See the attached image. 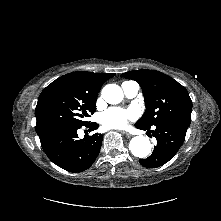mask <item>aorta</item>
<instances>
[{
	"instance_id": "aorta-1",
	"label": "aorta",
	"mask_w": 221,
	"mask_h": 221,
	"mask_svg": "<svg viewBox=\"0 0 221 221\" xmlns=\"http://www.w3.org/2000/svg\"><path fill=\"white\" fill-rule=\"evenodd\" d=\"M102 97L109 104H118L123 99V91L116 84H108L102 89ZM152 145L147 137L135 136L129 143L131 153L138 158H145L151 153Z\"/></svg>"
}]
</instances>
